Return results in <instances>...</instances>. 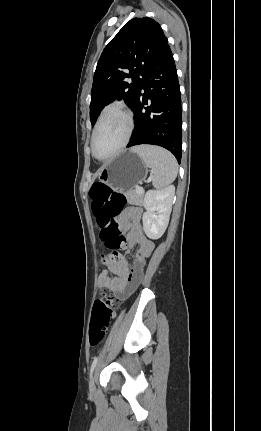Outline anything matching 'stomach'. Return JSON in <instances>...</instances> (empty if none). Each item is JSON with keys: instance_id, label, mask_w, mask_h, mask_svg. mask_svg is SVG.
<instances>
[{"instance_id": "1", "label": "stomach", "mask_w": 261, "mask_h": 431, "mask_svg": "<svg viewBox=\"0 0 261 431\" xmlns=\"http://www.w3.org/2000/svg\"><path fill=\"white\" fill-rule=\"evenodd\" d=\"M146 176L147 166L132 149L117 154L100 169L98 174L102 183L121 192L132 190Z\"/></svg>"}]
</instances>
